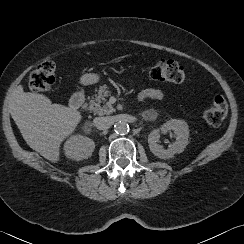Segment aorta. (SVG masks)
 <instances>
[{
    "label": "aorta",
    "instance_id": "aorta-1",
    "mask_svg": "<svg viewBox=\"0 0 244 244\" xmlns=\"http://www.w3.org/2000/svg\"><path fill=\"white\" fill-rule=\"evenodd\" d=\"M115 131L118 134H126L129 132V125L126 122H117L115 124Z\"/></svg>",
    "mask_w": 244,
    "mask_h": 244
}]
</instances>
